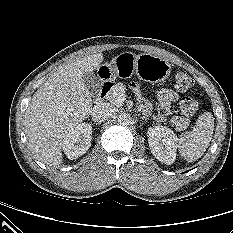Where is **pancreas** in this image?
I'll return each mask as SVG.
<instances>
[{"label": "pancreas", "mask_w": 233, "mask_h": 233, "mask_svg": "<svg viewBox=\"0 0 233 233\" xmlns=\"http://www.w3.org/2000/svg\"><path fill=\"white\" fill-rule=\"evenodd\" d=\"M125 90H126V87L122 83L115 84L107 96V100L109 102L108 104L112 107L122 106L123 102L120 98V95L124 94ZM153 118L156 120L162 121V122H165L167 120L163 114L155 115L153 116ZM170 122L173 125H175L176 130L182 131V130H185L189 126L190 120L183 116H173Z\"/></svg>", "instance_id": "cf45deb5"}]
</instances>
